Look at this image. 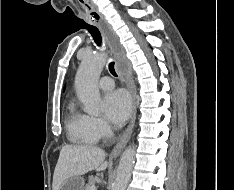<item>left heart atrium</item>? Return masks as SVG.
Instances as JSON below:
<instances>
[{
	"label": "left heart atrium",
	"mask_w": 234,
	"mask_h": 190,
	"mask_svg": "<svg viewBox=\"0 0 234 190\" xmlns=\"http://www.w3.org/2000/svg\"><path fill=\"white\" fill-rule=\"evenodd\" d=\"M105 115L116 125L123 124L131 112V98L125 90L109 92L104 97Z\"/></svg>",
	"instance_id": "obj_1"
}]
</instances>
